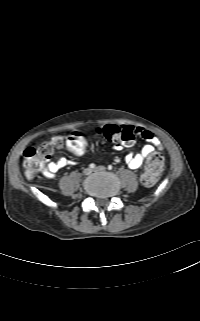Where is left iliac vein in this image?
<instances>
[{"mask_svg":"<svg viewBox=\"0 0 200 321\" xmlns=\"http://www.w3.org/2000/svg\"><path fill=\"white\" fill-rule=\"evenodd\" d=\"M105 170H106V168H105L104 166H98V167H96V168L94 169L95 172H103V171H105Z\"/></svg>","mask_w":200,"mask_h":321,"instance_id":"4c4485c4","label":"left iliac vein"}]
</instances>
